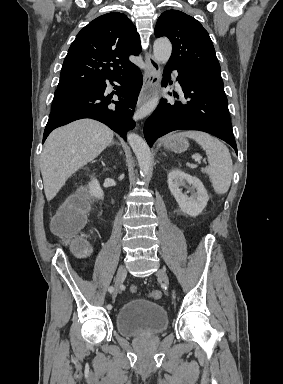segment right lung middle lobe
Listing matches in <instances>:
<instances>
[{
	"mask_svg": "<svg viewBox=\"0 0 283 384\" xmlns=\"http://www.w3.org/2000/svg\"><path fill=\"white\" fill-rule=\"evenodd\" d=\"M91 91L90 88H79V89H67V90H56L54 99L52 102V110L61 108L65 105L73 103Z\"/></svg>",
	"mask_w": 283,
	"mask_h": 384,
	"instance_id": "dd1d6c3e",
	"label": "right lung middle lobe"
}]
</instances>
